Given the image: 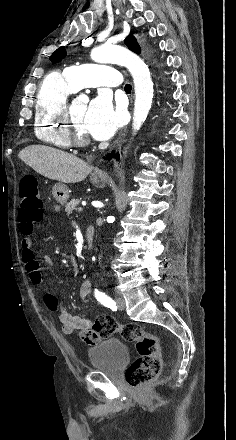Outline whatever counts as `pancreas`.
Returning <instances> with one entry per match:
<instances>
[{"label": "pancreas", "instance_id": "pancreas-1", "mask_svg": "<svg viewBox=\"0 0 236 440\" xmlns=\"http://www.w3.org/2000/svg\"><path fill=\"white\" fill-rule=\"evenodd\" d=\"M79 203V199H72L69 203H67L65 207V212L67 213V215H70L72 211L76 208V206L79 205Z\"/></svg>", "mask_w": 236, "mask_h": 440}]
</instances>
